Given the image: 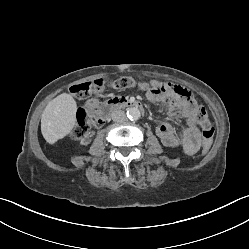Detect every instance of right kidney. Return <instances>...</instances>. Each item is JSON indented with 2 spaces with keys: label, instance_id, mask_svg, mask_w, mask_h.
Wrapping results in <instances>:
<instances>
[{
  "label": "right kidney",
  "instance_id": "right-kidney-1",
  "mask_svg": "<svg viewBox=\"0 0 249 249\" xmlns=\"http://www.w3.org/2000/svg\"><path fill=\"white\" fill-rule=\"evenodd\" d=\"M96 136L95 130H90L87 135L81 140V145H88L91 143L92 139Z\"/></svg>",
  "mask_w": 249,
  "mask_h": 249
}]
</instances>
